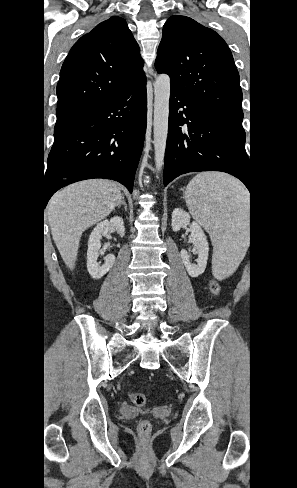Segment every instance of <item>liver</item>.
I'll list each match as a JSON object with an SVG mask.
<instances>
[{
  "mask_svg": "<svg viewBox=\"0 0 297 488\" xmlns=\"http://www.w3.org/2000/svg\"><path fill=\"white\" fill-rule=\"evenodd\" d=\"M121 201L117 184L102 179L71 184L52 196L46 215L53 240L68 268L75 267L83 232L107 217Z\"/></svg>",
  "mask_w": 297,
  "mask_h": 488,
  "instance_id": "obj_1",
  "label": "liver"
}]
</instances>
